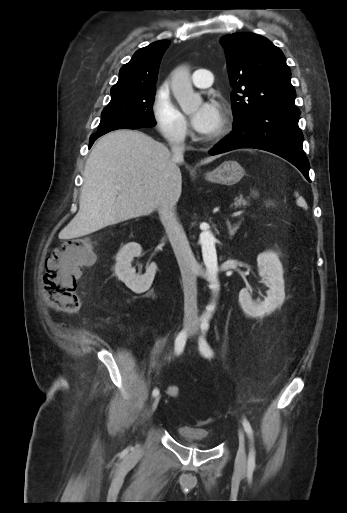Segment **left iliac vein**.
Returning <instances> with one entry per match:
<instances>
[{
	"label": "left iliac vein",
	"instance_id": "left-iliac-vein-1",
	"mask_svg": "<svg viewBox=\"0 0 347 513\" xmlns=\"http://www.w3.org/2000/svg\"><path fill=\"white\" fill-rule=\"evenodd\" d=\"M198 331L197 325H193L191 329V334L196 335ZM238 438H239V447L236 454L235 459V469L238 473H242L246 469V450H245V436L243 430L240 428L238 430Z\"/></svg>",
	"mask_w": 347,
	"mask_h": 513
}]
</instances>
